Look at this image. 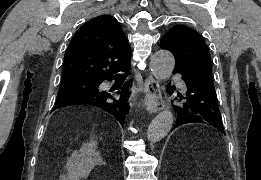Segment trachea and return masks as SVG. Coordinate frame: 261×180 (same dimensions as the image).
Segmentation results:
<instances>
[{"label":"trachea","instance_id":"3493384b","mask_svg":"<svg viewBox=\"0 0 261 180\" xmlns=\"http://www.w3.org/2000/svg\"><path fill=\"white\" fill-rule=\"evenodd\" d=\"M116 78H117V79H125V78H126V75H117Z\"/></svg>","mask_w":261,"mask_h":180}]
</instances>
